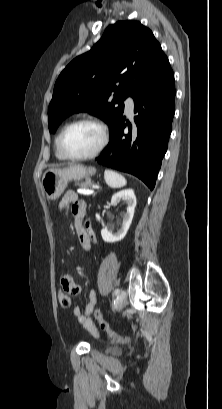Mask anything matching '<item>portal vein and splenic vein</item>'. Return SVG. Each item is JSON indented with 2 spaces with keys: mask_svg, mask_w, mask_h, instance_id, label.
I'll use <instances>...</instances> for the list:
<instances>
[{
  "mask_svg": "<svg viewBox=\"0 0 222 409\" xmlns=\"http://www.w3.org/2000/svg\"><path fill=\"white\" fill-rule=\"evenodd\" d=\"M80 194H83V195H90V194H92L93 192H94V190H79L78 191Z\"/></svg>",
  "mask_w": 222,
  "mask_h": 409,
  "instance_id": "18ae733b",
  "label": "portal vein and splenic vein"
}]
</instances>
